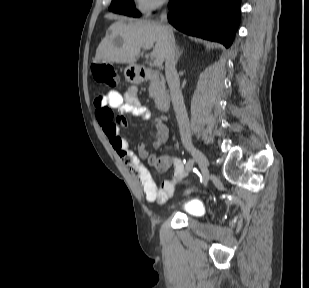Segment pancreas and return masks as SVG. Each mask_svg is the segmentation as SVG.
Segmentation results:
<instances>
[{
    "label": "pancreas",
    "mask_w": 309,
    "mask_h": 288,
    "mask_svg": "<svg viewBox=\"0 0 309 288\" xmlns=\"http://www.w3.org/2000/svg\"><path fill=\"white\" fill-rule=\"evenodd\" d=\"M165 93H166V87L163 76L157 71H152L149 86V96L151 98H154L155 102H159L160 98Z\"/></svg>",
    "instance_id": "cf45deb5"
}]
</instances>
